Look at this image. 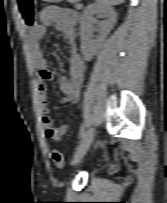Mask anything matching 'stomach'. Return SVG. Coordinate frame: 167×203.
<instances>
[{
	"label": "stomach",
	"instance_id": "1",
	"mask_svg": "<svg viewBox=\"0 0 167 203\" xmlns=\"http://www.w3.org/2000/svg\"><path fill=\"white\" fill-rule=\"evenodd\" d=\"M44 2H49V3H59L62 2L63 0H42Z\"/></svg>",
	"mask_w": 167,
	"mask_h": 203
}]
</instances>
